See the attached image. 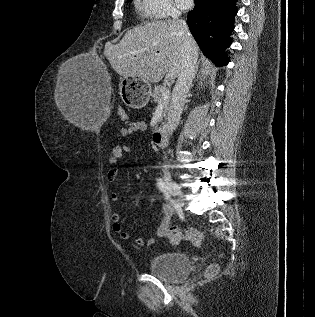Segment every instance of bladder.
Here are the masks:
<instances>
[{
    "instance_id": "obj_1",
    "label": "bladder",
    "mask_w": 315,
    "mask_h": 317,
    "mask_svg": "<svg viewBox=\"0 0 315 317\" xmlns=\"http://www.w3.org/2000/svg\"><path fill=\"white\" fill-rule=\"evenodd\" d=\"M150 272L168 281L184 279L191 270V263L184 253L168 252L155 255L149 260Z\"/></svg>"
}]
</instances>
